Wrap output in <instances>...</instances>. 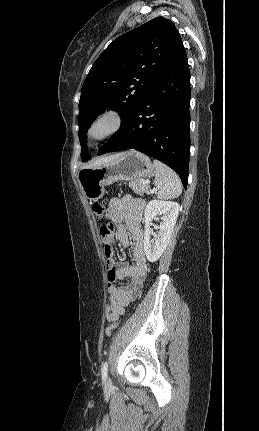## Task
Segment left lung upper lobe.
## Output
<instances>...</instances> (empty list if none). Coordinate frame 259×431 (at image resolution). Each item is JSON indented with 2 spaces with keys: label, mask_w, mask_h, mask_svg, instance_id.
I'll use <instances>...</instances> for the list:
<instances>
[{
  "label": "left lung upper lobe",
  "mask_w": 259,
  "mask_h": 431,
  "mask_svg": "<svg viewBox=\"0 0 259 431\" xmlns=\"http://www.w3.org/2000/svg\"><path fill=\"white\" fill-rule=\"evenodd\" d=\"M174 23L157 17L115 39L90 69L79 101L81 157L87 152V130L105 108L115 105L122 124L148 94L182 47Z\"/></svg>",
  "instance_id": "obj_1"
}]
</instances>
